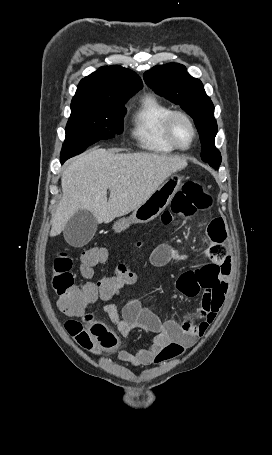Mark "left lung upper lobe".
<instances>
[{"instance_id": "obj_1", "label": "left lung upper lobe", "mask_w": 272, "mask_h": 455, "mask_svg": "<svg viewBox=\"0 0 272 455\" xmlns=\"http://www.w3.org/2000/svg\"><path fill=\"white\" fill-rule=\"evenodd\" d=\"M143 77L158 95L180 105L193 118L202 143V160L218 169L221 154L214 145L217 134L214 106L202 82L191 77L185 66L178 63L155 66L146 71Z\"/></svg>"}]
</instances>
